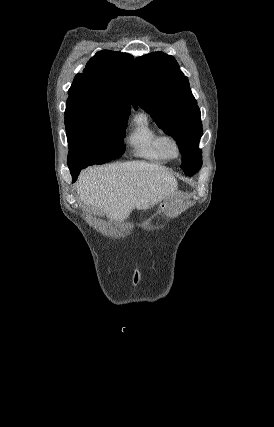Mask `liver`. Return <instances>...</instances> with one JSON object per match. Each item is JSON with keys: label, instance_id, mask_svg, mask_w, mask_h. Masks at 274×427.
I'll return each mask as SVG.
<instances>
[{"label": "liver", "instance_id": "obj_1", "mask_svg": "<svg viewBox=\"0 0 274 427\" xmlns=\"http://www.w3.org/2000/svg\"><path fill=\"white\" fill-rule=\"evenodd\" d=\"M178 184L164 166L124 162L93 166L81 172L77 194L95 212L115 221L127 219L132 210H149L170 196Z\"/></svg>", "mask_w": 274, "mask_h": 427}]
</instances>
